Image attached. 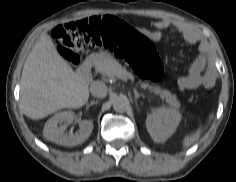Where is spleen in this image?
<instances>
[{
  "mask_svg": "<svg viewBox=\"0 0 236 182\" xmlns=\"http://www.w3.org/2000/svg\"><path fill=\"white\" fill-rule=\"evenodd\" d=\"M213 118V114H211L209 116V120H211ZM200 136H201V130H197L196 132L190 134V135H186L184 138H183V148H188L192 145H194L196 142L199 141L200 139Z\"/></svg>",
  "mask_w": 236,
  "mask_h": 182,
  "instance_id": "1",
  "label": "spleen"
}]
</instances>
